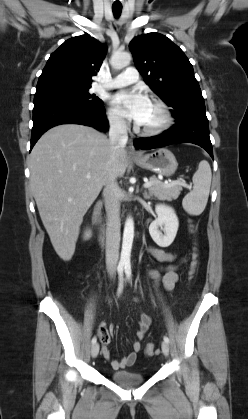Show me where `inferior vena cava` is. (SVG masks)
Instances as JSON below:
<instances>
[{"instance_id": "1", "label": "inferior vena cava", "mask_w": 248, "mask_h": 419, "mask_svg": "<svg viewBox=\"0 0 248 419\" xmlns=\"http://www.w3.org/2000/svg\"><path fill=\"white\" fill-rule=\"evenodd\" d=\"M109 142L111 148L110 164L115 160V154L126 146L128 140L127 125L118 116L109 117ZM103 197L107 212L106 227V266L110 273L116 271L120 247V197L116 176L109 170Z\"/></svg>"}]
</instances>
